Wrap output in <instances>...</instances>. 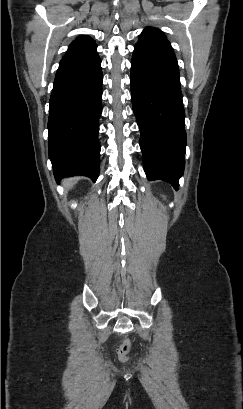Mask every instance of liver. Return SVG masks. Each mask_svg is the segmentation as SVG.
I'll use <instances>...</instances> for the list:
<instances>
[{"instance_id": "liver-1", "label": "liver", "mask_w": 243, "mask_h": 409, "mask_svg": "<svg viewBox=\"0 0 243 409\" xmlns=\"http://www.w3.org/2000/svg\"><path fill=\"white\" fill-rule=\"evenodd\" d=\"M65 185H66L67 187H71V186H73V181H71V180H66V181H65Z\"/></svg>"}]
</instances>
